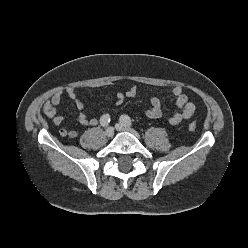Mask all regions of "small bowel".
<instances>
[{"instance_id":"1","label":"small bowel","mask_w":248,"mask_h":248,"mask_svg":"<svg viewBox=\"0 0 248 248\" xmlns=\"http://www.w3.org/2000/svg\"><path fill=\"white\" fill-rule=\"evenodd\" d=\"M99 86H94L93 88H98ZM64 93L75 102L77 109V121L84 126H96L98 120L96 118H89L85 112V105L82 101L86 97V94L78 95L76 90L72 87L66 90L56 91L51 98L45 101L43 105V113L49 118L55 126H60L63 123L64 117L58 113V106L61 103ZM138 93L137 87H130L126 93L118 92L115 95V103L121 105L125 98H134ZM172 94L175 96L176 105L180 109L178 112L168 117V122L172 125H177L184 120L190 119L196 110L195 105L189 101V98L182 87L175 86L172 89ZM145 114L150 119H158L162 117L161 101L157 97H152L150 99V106L145 111ZM59 134L62 137L76 138L78 132L73 129L60 128Z\"/></svg>"}]
</instances>
